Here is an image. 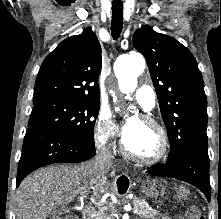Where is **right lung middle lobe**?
Instances as JSON below:
<instances>
[{"instance_id": "1", "label": "right lung middle lobe", "mask_w": 221, "mask_h": 219, "mask_svg": "<svg viewBox=\"0 0 221 219\" xmlns=\"http://www.w3.org/2000/svg\"><path fill=\"white\" fill-rule=\"evenodd\" d=\"M100 102L49 99L34 103L28 127L38 125L94 145Z\"/></svg>"}]
</instances>
